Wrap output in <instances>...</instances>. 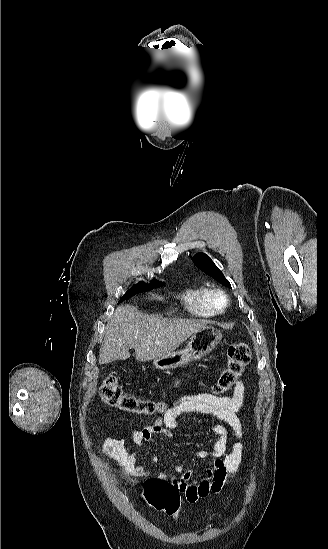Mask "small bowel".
Returning a JSON list of instances; mask_svg holds the SVG:
<instances>
[{
    "mask_svg": "<svg viewBox=\"0 0 328 549\" xmlns=\"http://www.w3.org/2000/svg\"><path fill=\"white\" fill-rule=\"evenodd\" d=\"M183 379H176L171 383L176 387ZM245 386L242 381H237L231 397H220L210 393H197L180 397L171 407L152 424L141 430H131L130 435L135 444L146 451L148 461L156 463L158 456L149 450L150 445H161L163 439L173 436V430L180 424L178 417L185 413H200L216 418L219 422L210 427V431L217 436V440L211 449H201L195 452L197 458L211 460V467L206 470L204 477L193 479L192 470L181 465L174 467L175 475L169 479L176 484L181 494L189 503H195L199 499L211 494H219L227 480L232 478L242 461L243 427L238 413L243 407ZM230 432L235 438L229 452L228 441ZM100 452L118 471L126 484L132 485L137 478L148 476L151 471L148 467L138 465L144 458L140 452H130L124 440L118 437L108 436L104 439ZM157 478L168 479L164 473H157Z\"/></svg>",
    "mask_w": 328,
    "mask_h": 549,
    "instance_id": "obj_1",
    "label": "small bowel"
}]
</instances>
